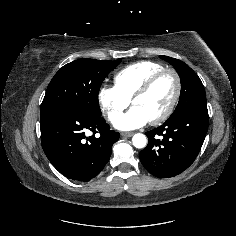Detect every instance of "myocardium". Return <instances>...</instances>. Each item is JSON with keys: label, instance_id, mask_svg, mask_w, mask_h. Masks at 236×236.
Segmentation results:
<instances>
[{"label": "myocardium", "instance_id": "myocardium-1", "mask_svg": "<svg viewBox=\"0 0 236 236\" xmlns=\"http://www.w3.org/2000/svg\"><path fill=\"white\" fill-rule=\"evenodd\" d=\"M166 74H170L174 78V81H175L174 95H173L168 107L166 108V110L157 118L149 121V123L151 125L161 124V123L165 122L173 114V112L178 104V101L180 99L181 92H182V81H181V77H180L179 73L173 68H166V69H163V70L157 72L156 74L151 76L135 92V94L131 98V104H133V102L136 99L146 95L152 89V87Z\"/></svg>", "mask_w": 236, "mask_h": 236}]
</instances>
